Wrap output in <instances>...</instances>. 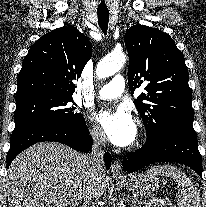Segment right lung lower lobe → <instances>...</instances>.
<instances>
[{
    "instance_id": "1",
    "label": "right lung lower lobe",
    "mask_w": 206,
    "mask_h": 207,
    "mask_svg": "<svg viewBox=\"0 0 206 207\" xmlns=\"http://www.w3.org/2000/svg\"><path fill=\"white\" fill-rule=\"evenodd\" d=\"M42 141L60 142L82 152H89L93 144L86 124L81 129H72L57 125L36 127L11 137L10 149L6 157L7 167L24 149ZM104 161L106 168L109 169L111 165V156L109 153L105 154Z\"/></svg>"
}]
</instances>
